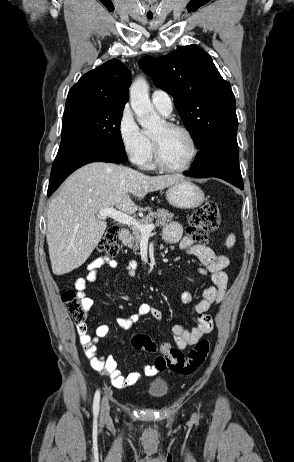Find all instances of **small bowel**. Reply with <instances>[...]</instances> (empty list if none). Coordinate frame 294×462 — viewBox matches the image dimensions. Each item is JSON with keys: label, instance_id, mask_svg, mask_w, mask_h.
<instances>
[{"label": "small bowel", "instance_id": "small-bowel-1", "mask_svg": "<svg viewBox=\"0 0 294 462\" xmlns=\"http://www.w3.org/2000/svg\"><path fill=\"white\" fill-rule=\"evenodd\" d=\"M163 238L166 243H178L181 250L198 257L203 264L202 273L211 274L212 285L207 286L202 292V298L194 304L195 312L198 316V324L187 330L182 325L176 324L172 327L174 343L178 349H185L188 346L196 344L204 335L210 333L213 329V321L208 311L214 304L219 303L226 292L228 276L225 272L228 266V258L222 254H216L206 246L195 244L188 236L182 237V226L179 223H169L163 231ZM118 263L109 257H98L94 259L87 267L88 274L80 277L75 282L77 295L82 299L85 311H89L94 302L87 296V285L95 281L99 270L103 267L116 268ZM137 263L132 261L125 266L126 272L130 276L135 275ZM183 303L190 304L193 302L192 295L189 291L181 294ZM145 315H151L156 320L162 319L161 312L152 307L149 303L143 302L139 305L138 312L127 318H119L118 324L123 329H129L137 324ZM80 344L83 347L86 357L89 359L91 367L102 375L109 377L111 384L118 389L134 385L142 375L154 376L163 371L158 369L155 364L145 365L140 369L131 371L128 375H123L118 369V363L114 356L108 355L103 357L97 352V345L101 338L109 333V326L106 324L99 325L94 334L88 331L85 323L77 325Z\"/></svg>", "mask_w": 294, "mask_h": 462}]
</instances>
